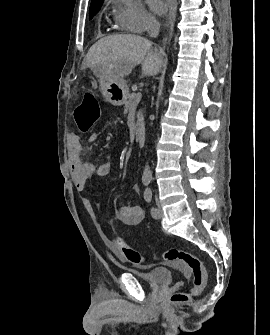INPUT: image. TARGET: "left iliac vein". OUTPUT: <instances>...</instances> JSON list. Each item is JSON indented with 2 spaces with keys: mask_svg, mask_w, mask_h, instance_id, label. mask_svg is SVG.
<instances>
[{
  "mask_svg": "<svg viewBox=\"0 0 270 335\" xmlns=\"http://www.w3.org/2000/svg\"><path fill=\"white\" fill-rule=\"evenodd\" d=\"M156 205H157V215L154 217V218H161L163 216V211L161 209V205H160V202H159V199L156 197Z\"/></svg>",
  "mask_w": 270,
  "mask_h": 335,
  "instance_id": "4c4485c4",
  "label": "left iliac vein"
}]
</instances>
